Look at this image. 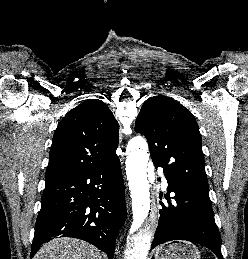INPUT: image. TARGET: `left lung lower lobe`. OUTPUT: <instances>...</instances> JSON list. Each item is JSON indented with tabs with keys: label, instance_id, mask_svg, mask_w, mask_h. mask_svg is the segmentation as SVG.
<instances>
[{
	"label": "left lung lower lobe",
	"instance_id": "left-lung-lower-lobe-1",
	"mask_svg": "<svg viewBox=\"0 0 248 259\" xmlns=\"http://www.w3.org/2000/svg\"><path fill=\"white\" fill-rule=\"evenodd\" d=\"M157 168V166H155ZM168 192H174L173 203H161L160 218L151 249L171 240H187L212 250L219 259L221 238L215 224L209 194L195 193L183 188L166 174Z\"/></svg>",
	"mask_w": 248,
	"mask_h": 259
}]
</instances>
